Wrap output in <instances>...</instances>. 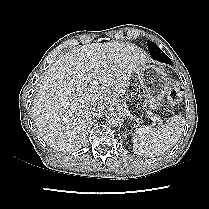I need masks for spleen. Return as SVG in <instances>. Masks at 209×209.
I'll return each instance as SVG.
<instances>
[{"instance_id": "3e777b00", "label": "spleen", "mask_w": 209, "mask_h": 209, "mask_svg": "<svg viewBox=\"0 0 209 209\" xmlns=\"http://www.w3.org/2000/svg\"><path fill=\"white\" fill-rule=\"evenodd\" d=\"M184 127L185 119L181 115L169 118L164 127L141 126L133 136V151L142 157L164 154L177 143Z\"/></svg>"}]
</instances>
